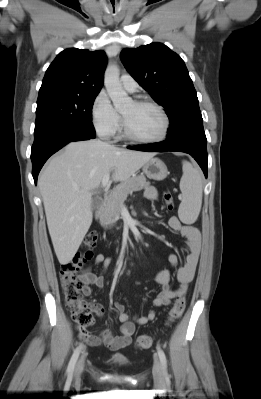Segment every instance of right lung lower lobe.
Here are the masks:
<instances>
[{
    "label": "right lung lower lobe",
    "mask_w": 261,
    "mask_h": 399,
    "mask_svg": "<svg viewBox=\"0 0 261 399\" xmlns=\"http://www.w3.org/2000/svg\"><path fill=\"white\" fill-rule=\"evenodd\" d=\"M95 138V130L88 131L68 122L48 123L34 130L31 149L32 175L37 184L38 174L47 159L72 141Z\"/></svg>",
    "instance_id": "1"
}]
</instances>
